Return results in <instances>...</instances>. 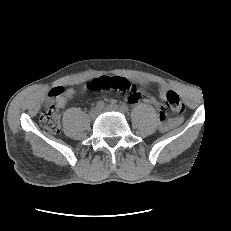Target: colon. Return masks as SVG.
Instances as JSON below:
<instances>
[{"label":"colon","instance_id":"5ec220e1","mask_svg":"<svg viewBox=\"0 0 231 231\" xmlns=\"http://www.w3.org/2000/svg\"><path fill=\"white\" fill-rule=\"evenodd\" d=\"M89 89L94 92L99 91H117L128 92L131 89L130 83L127 79L122 77H102L93 80ZM62 93L61 89L54 88L50 95L53 99H56ZM166 109L175 114H181L184 110V104L181 101L179 95L174 90H168L165 94V107H160L159 114L162 124H165ZM176 122L179 120L176 119ZM40 122L48 131L52 133H59L61 130L60 115L58 107L55 104L47 106L40 114Z\"/></svg>","mask_w":231,"mask_h":231}]
</instances>
